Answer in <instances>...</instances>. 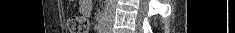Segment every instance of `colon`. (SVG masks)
<instances>
[{
    "label": "colon",
    "instance_id": "5ec220e1",
    "mask_svg": "<svg viewBox=\"0 0 235 33\" xmlns=\"http://www.w3.org/2000/svg\"><path fill=\"white\" fill-rule=\"evenodd\" d=\"M69 30L71 33H88L89 23L82 16H74L69 20Z\"/></svg>",
    "mask_w": 235,
    "mask_h": 33
}]
</instances>
